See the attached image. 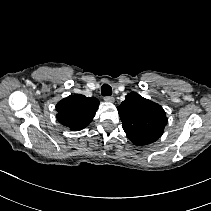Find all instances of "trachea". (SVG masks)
Returning a JSON list of instances; mask_svg holds the SVG:
<instances>
[{
	"instance_id": "1",
	"label": "trachea",
	"mask_w": 211,
	"mask_h": 211,
	"mask_svg": "<svg viewBox=\"0 0 211 211\" xmlns=\"http://www.w3.org/2000/svg\"><path fill=\"white\" fill-rule=\"evenodd\" d=\"M101 94L103 96H111L112 95V88L108 84H103L101 87Z\"/></svg>"
}]
</instances>
